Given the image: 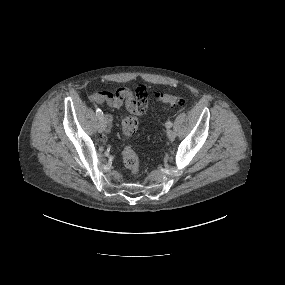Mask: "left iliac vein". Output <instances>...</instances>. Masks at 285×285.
Here are the masks:
<instances>
[{
	"label": "left iliac vein",
	"mask_w": 285,
	"mask_h": 285,
	"mask_svg": "<svg viewBox=\"0 0 285 285\" xmlns=\"http://www.w3.org/2000/svg\"><path fill=\"white\" fill-rule=\"evenodd\" d=\"M167 137H168L169 140L173 141L175 139V137H176V134H175L174 131L168 129L167 130Z\"/></svg>",
	"instance_id": "obj_1"
}]
</instances>
